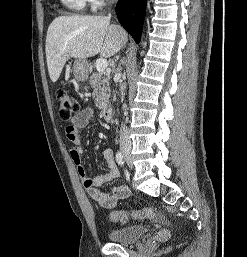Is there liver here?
Masks as SVG:
<instances>
[{
  "mask_svg": "<svg viewBox=\"0 0 247 257\" xmlns=\"http://www.w3.org/2000/svg\"><path fill=\"white\" fill-rule=\"evenodd\" d=\"M127 42L122 27L110 25L107 16H59L48 27L46 60L49 76L56 82L70 58L85 60L100 53L109 58Z\"/></svg>",
  "mask_w": 247,
  "mask_h": 257,
  "instance_id": "1",
  "label": "liver"
}]
</instances>
